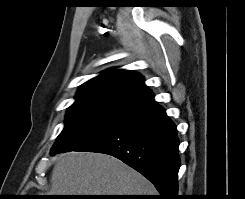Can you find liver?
<instances>
[{
  "mask_svg": "<svg viewBox=\"0 0 245 199\" xmlns=\"http://www.w3.org/2000/svg\"><path fill=\"white\" fill-rule=\"evenodd\" d=\"M50 195H156L151 182L122 161L101 153L58 157Z\"/></svg>",
  "mask_w": 245,
  "mask_h": 199,
  "instance_id": "liver-1",
  "label": "liver"
}]
</instances>
